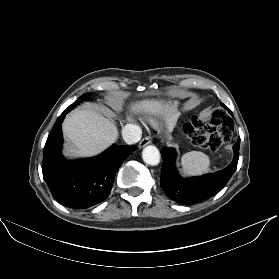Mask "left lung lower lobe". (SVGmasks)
<instances>
[{
  "label": "left lung lower lobe",
  "instance_id": "left-lung-lower-lobe-1",
  "mask_svg": "<svg viewBox=\"0 0 279 279\" xmlns=\"http://www.w3.org/2000/svg\"><path fill=\"white\" fill-rule=\"evenodd\" d=\"M188 123L184 125L187 128ZM240 138L233 146L234 159L225 169L201 177L183 179L175 167L174 148H162V170L160 185L169 198L177 203L190 205L202 202L225 187L237 168Z\"/></svg>",
  "mask_w": 279,
  "mask_h": 279
}]
</instances>
